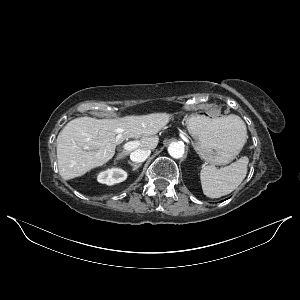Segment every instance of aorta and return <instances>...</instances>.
Here are the masks:
<instances>
[{
    "instance_id": "1",
    "label": "aorta",
    "mask_w": 300,
    "mask_h": 300,
    "mask_svg": "<svg viewBox=\"0 0 300 300\" xmlns=\"http://www.w3.org/2000/svg\"><path fill=\"white\" fill-rule=\"evenodd\" d=\"M184 152V145L181 142H172L168 146L169 155L175 159L183 157Z\"/></svg>"
}]
</instances>
